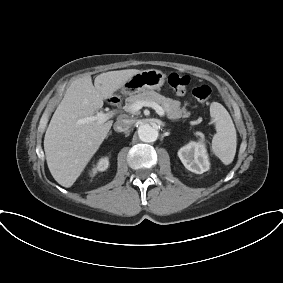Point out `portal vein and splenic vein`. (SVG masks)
Masks as SVG:
<instances>
[{"label":"portal vein and splenic vein","mask_w":283,"mask_h":283,"mask_svg":"<svg viewBox=\"0 0 283 283\" xmlns=\"http://www.w3.org/2000/svg\"><path fill=\"white\" fill-rule=\"evenodd\" d=\"M144 106L152 107L157 112V114L161 117H163L165 115L163 108L159 104H157L155 102H148V101H137V102L131 104L129 107H126V111L131 112V113H135V112L139 111ZM114 114L115 113L113 111H110V112H107V113L100 111V112H97V114L94 115V116H89V117H86V118L79 120V122L81 124L93 122V121H97L98 123H104L107 120H109L110 118H112Z\"/></svg>","instance_id":"18ae733b"}]
</instances>
